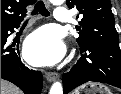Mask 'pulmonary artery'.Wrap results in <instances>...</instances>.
I'll list each match as a JSON object with an SVG mask.
<instances>
[{
    "instance_id": "obj_1",
    "label": "pulmonary artery",
    "mask_w": 121,
    "mask_h": 94,
    "mask_svg": "<svg viewBox=\"0 0 121 94\" xmlns=\"http://www.w3.org/2000/svg\"><path fill=\"white\" fill-rule=\"evenodd\" d=\"M54 17L59 22H67L70 20L69 11L63 7H58L56 9Z\"/></svg>"
}]
</instances>
